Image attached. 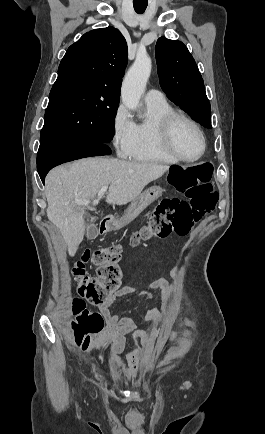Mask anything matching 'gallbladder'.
<instances>
[{
	"label": "gallbladder",
	"mask_w": 265,
	"mask_h": 434,
	"mask_svg": "<svg viewBox=\"0 0 265 434\" xmlns=\"http://www.w3.org/2000/svg\"><path fill=\"white\" fill-rule=\"evenodd\" d=\"M87 218H90V216H87ZM98 236V230L96 225L92 224L90 226H87V238L88 240H95Z\"/></svg>",
	"instance_id": "1"
}]
</instances>
